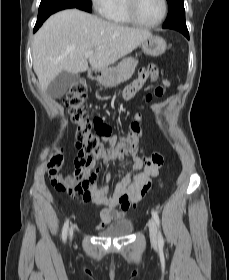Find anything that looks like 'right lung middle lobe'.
<instances>
[{
    "mask_svg": "<svg viewBox=\"0 0 229 280\" xmlns=\"http://www.w3.org/2000/svg\"><path fill=\"white\" fill-rule=\"evenodd\" d=\"M59 1H64V0H41L40 5H44V4H47V3L59 2ZM68 1L80 2V3H83V4L91 7V0H68Z\"/></svg>",
    "mask_w": 229,
    "mask_h": 280,
    "instance_id": "obj_1",
    "label": "right lung middle lobe"
}]
</instances>
